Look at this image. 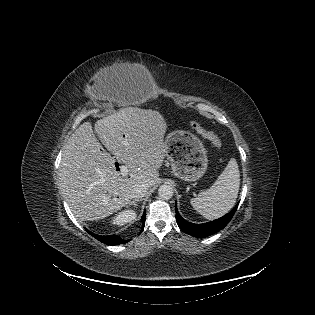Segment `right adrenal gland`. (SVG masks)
<instances>
[{
    "label": "right adrenal gland",
    "instance_id": "obj_1",
    "mask_svg": "<svg viewBox=\"0 0 315 315\" xmlns=\"http://www.w3.org/2000/svg\"><path fill=\"white\" fill-rule=\"evenodd\" d=\"M139 201H141V200H133V201H130V202L128 203V205H133L134 207H137V202H139Z\"/></svg>",
    "mask_w": 315,
    "mask_h": 315
}]
</instances>
